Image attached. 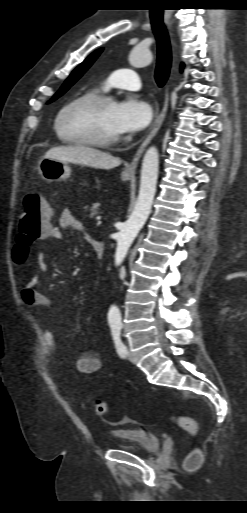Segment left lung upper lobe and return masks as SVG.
I'll return each mask as SVG.
<instances>
[{
  "instance_id": "1",
  "label": "left lung upper lobe",
  "mask_w": 247,
  "mask_h": 513,
  "mask_svg": "<svg viewBox=\"0 0 247 513\" xmlns=\"http://www.w3.org/2000/svg\"><path fill=\"white\" fill-rule=\"evenodd\" d=\"M102 48L94 51L91 55H89L84 62H82L67 78L65 83L62 85V87L59 89V91L52 97V99L48 102H53L60 96H62L86 71L87 69L93 64V62L97 59V57L102 52Z\"/></svg>"
}]
</instances>
